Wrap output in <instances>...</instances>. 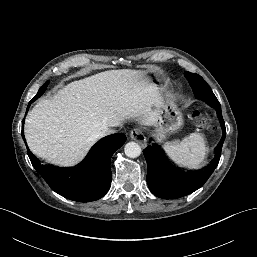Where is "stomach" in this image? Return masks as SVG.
Wrapping results in <instances>:
<instances>
[{
  "label": "stomach",
  "instance_id": "0dacf381",
  "mask_svg": "<svg viewBox=\"0 0 257 257\" xmlns=\"http://www.w3.org/2000/svg\"><path fill=\"white\" fill-rule=\"evenodd\" d=\"M150 81L159 80L161 71L151 67L145 71ZM158 118L154 125L153 136L158 142H163L171 134L178 132L183 124V115L174 102L170 100L162 101L158 108Z\"/></svg>",
  "mask_w": 257,
  "mask_h": 257
}]
</instances>
